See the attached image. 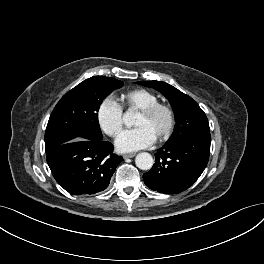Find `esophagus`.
Returning <instances> with one entry per match:
<instances>
[{"mask_svg":"<svg viewBox=\"0 0 264 264\" xmlns=\"http://www.w3.org/2000/svg\"><path fill=\"white\" fill-rule=\"evenodd\" d=\"M135 155H136V153H126L123 155V158L124 159L133 158Z\"/></svg>","mask_w":264,"mask_h":264,"instance_id":"1","label":"esophagus"}]
</instances>
